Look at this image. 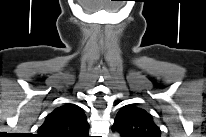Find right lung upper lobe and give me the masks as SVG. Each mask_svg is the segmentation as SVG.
I'll return each mask as SVG.
<instances>
[{
  "mask_svg": "<svg viewBox=\"0 0 206 137\" xmlns=\"http://www.w3.org/2000/svg\"><path fill=\"white\" fill-rule=\"evenodd\" d=\"M89 124L83 109L75 104L56 108L38 129L40 137H87Z\"/></svg>",
  "mask_w": 206,
  "mask_h": 137,
  "instance_id": "obj_1",
  "label": "right lung upper lobe"
}]
</instances>
